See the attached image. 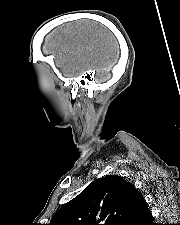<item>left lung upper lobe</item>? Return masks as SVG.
<instances>
[{"mask_svg":"<svg viewBox=\"0 0 180 225\" xmlns=\"http://www.w3.org/2000/svg\"><path fill=\"white\" fill-rule=\"evenodd\" d=\"M146 206L134 185L119 176H105L58 210L48 225H125Z\"/></svg>","mask_w":180,"mask_h":225,"instance_id":"5c2ea615","label":"left lung upper lobe"}]
</instances>
